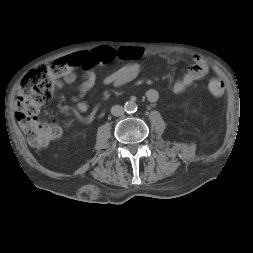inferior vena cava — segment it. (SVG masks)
<instances>
[{
	"label": "inferior vena cava",
	"instance_id": "inferior-vena-cava-1",
	"mask_svg": "<svg viewBox=\"0 0 253 253\" xmlns=\"http://www.w3.org/2000/svg\"><path fill=\"white\" fill-rule=\"evenodd\" d=\"M111 114L113 116H122L124 114V108L120 105H115L111 108Z\"/></svg>",
	"mask_w": 253,
	"mask_h": 253
}]
</instances>
